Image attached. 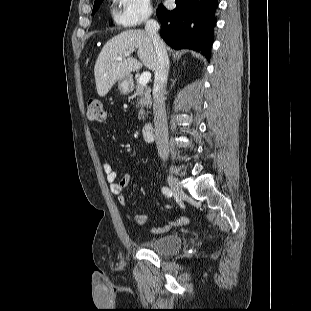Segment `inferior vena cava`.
I'll return each mask as SVG.
<instances>
[{
	"label": "inferior vena cava",
	"mask_w": 311,
	"mask_h": 311,
	"mask_svg": "<svg viewBox=\"0 0 311 311\" xmlns=\"http://www.w3.org/2000/svg\"><path fill=\"white\" fill-rule=\"evenodd\" d=\"M160 26L157 21L149 19L145 31L151 38L156 53L155 80L153 87V113L155 122V138L158 154L165 161L168 159V127L165 110V94L169 70V58L164 41L158 34Z\"/></svg>",
	"instance_id": "1"
}]
</instances>
